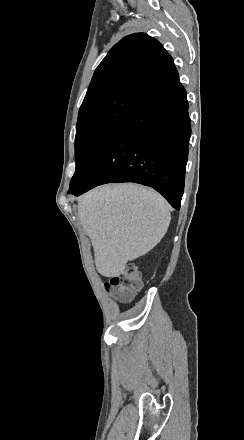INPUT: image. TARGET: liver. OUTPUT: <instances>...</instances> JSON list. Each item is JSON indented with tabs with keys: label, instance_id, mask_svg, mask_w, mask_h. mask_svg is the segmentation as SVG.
I'll return each mask as SVG.
<instances>
[{
	"label": "liver",
	"instance_id": "liver-1",
	"mask_svg": "<svg viewBox=\"0 0 244 440\" xmlns=\"http://www.w3.org/2000/svg\"><path fill=\"white\" fill-rule=\"evenodd\" d=\"M77 212L93 246L96 270L105 278L120 276L127 262L153 250L171 220L166 200L138 184L99 186L80 198Z\"/></svg>",
	"mask_w": 244,
	"mask_h": 440
}]
</instances>
